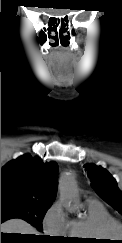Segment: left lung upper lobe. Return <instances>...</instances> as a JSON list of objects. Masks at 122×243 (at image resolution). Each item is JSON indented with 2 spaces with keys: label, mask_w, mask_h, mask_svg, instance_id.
Wrapping results in <instances>:
<instances>
[{
  "label": "left lung upper lobe",
  "mask_w": 122,
  "mask_h": 243,
  "mask_svg": "<svg viewBox=\"0 0 122 243\" xmlns=\"http://www.w3.org/2000/svg\"><path fill=\"white\" fill-rule=\"evenodd\" d=\"M84 168L95 192L122 214V191L116 180L101 166L86 164Z\"/></svg>",
  "instance_id": "obj_1"
}]
</instances>
